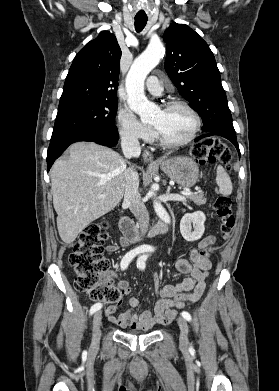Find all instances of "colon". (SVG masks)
I'll return each instance as SVG.
<instances>
[{
  "label": "colon",
  "mask_w": 279,
  "mask_h": 391,
  "mask_svg": "<svg viewBox=\"0 0 279 391\" xmlns=\"http://www.w3.org/2000/svg\"><path fill=\"white\" fill-rule=\"evenodd\" d=\"M195 160L202 164L220 162L229 165L231 153L227 146L218 139H205L191 148ZM220 220V233L228 238L235 225V215L232 200L228 196H218L213 205ZM108 223L102 221L86 227L78 236L69 262L75 272V288L89 295L97 302L116 304L121 293L107 278L108 261L103 257L104 245L108 239ZM204 257H209V250L202 251ZM187 293L177 294L171 299L170 307H175L186 301Z\"/></svg>",
  "instance_id": "5ec220e1"
}]
</instances>
